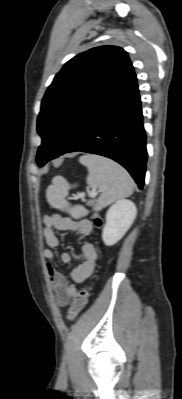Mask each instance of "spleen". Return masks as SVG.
Masks as SVG:
<instances>
[{
	"instance_id": "spleen-1",
	"label": "spleen",
	"mask_w": 182,
	"mask_h": 399,
	"mask_svg": "<svg viewBox=\"0 0 182 399\" xmlns=\"http://www.w3.org/2000/svg\"><path fill=\"white\" fill-rule=\"evenodd\" d=\"M79 162L88 169L87 184L89 187L99 189L101 192L94 207L96 211L133 193L134 181L118 163L93 154L81 156ZM70 188L71 185L62 176H56L52 180V185L47 189V200L52 207L68 212L73 218L83 217L87 214V210L79 205L72 207L66 200Z\"/></svg>"
}]
</instances>
